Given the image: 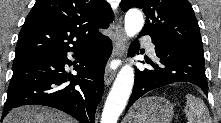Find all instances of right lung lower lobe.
Segmentation results:
<instances>
[{
	"mask_svg": "<svg viewBox=\"0 0 221 123\" xmlns=\"http://www.w3.org/2000/svg\"><path fill=\"white\" fill-rule=\"evenodd\" d=\"M69 51L78 56L76 76L67 75L64 69L65 64L71 65L67 58ZM69 51L13 63L4 112L37 104L62 110L81 123H94L96 107L104 91L105 65L112 52L111 40L103 35Z\"/></svg>",
	"mask_w": 221,
	"mask_h": 123,
	"instance_id": "98d812e1",
	"label": "right lung lower lobe"
}]
</instances>
